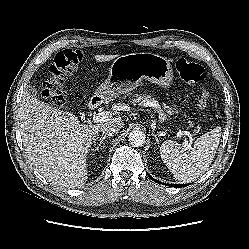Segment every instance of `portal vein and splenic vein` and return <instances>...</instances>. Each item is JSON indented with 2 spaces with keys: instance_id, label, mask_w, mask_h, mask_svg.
Here are the masks:
<instances>
[{
  "instance_id": "obj_1",
  "label": "portal vein and splenic vein",
  "mask_w": 249,
  "mask_h": 249,
  "mask_svg": "<svg viewBox=\"0 0 249 249\" xmlns=\"http://www.w3.org/2000/svg\"><path fill=\"white\" fill-rule=\"evenodd\" d=\"M109 118H111V116L109 115L108 112H100L97 113L96 115L93 116V122L95 123H102L107 121ZM187 136H190L189 134ZM185 146L188 147V142L185 140L184 141Z\"/></svg>"
}]
</instances>
